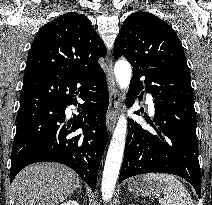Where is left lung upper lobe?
Returning a JSON list of instances; mask_svg holds the SVG:
<instances>
[{
    "mask_svg": "<svg viewBox=\"0 0 212 205\" xmlns=\"http://www.w3.org/2000/svg\"><path fill=\"white\" fill-rule=\"evenodd\" d=\"M114 58L123 56L133 70L166 67L189 75L185 53L174 30L147 12H135L125 22L114 45Z\"/></svg>",
    "mask_w": 212,
    "mask_h": 205,
    "instance_id": "1",
    "label": "left lung upper lobe"
}]
</instances>
